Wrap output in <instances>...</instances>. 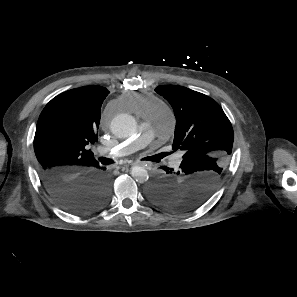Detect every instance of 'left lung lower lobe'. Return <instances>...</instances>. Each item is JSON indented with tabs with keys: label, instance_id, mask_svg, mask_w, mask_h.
<instances>
[{
	"label": "left lung lower lobe",
	"instance_id": "0a47b994",
	"mask_svg": "<svg viewBox=\"0 0 297 297\" xmlns=\"http://www.w3.org/2000/svg\"><path fill=\"white\" fill-rule=\"evenodd\" d=\"M163 170L166 171V173H170L172 174L174 172L173 169H169L168 167H162ZM179 171V172H178ZM178 171H176L175 173L178 172V174H180L181 172V169H179ZM169 178H170V175L168 176H164V177H160L158 178L150 187H154V188H157V187H167L168 183H169Z\"/></svg>",
	"mask_w": 297,
	"mask_h": 297
}]
</instances>
